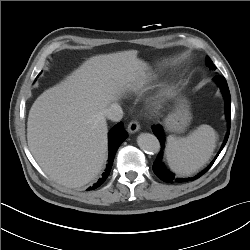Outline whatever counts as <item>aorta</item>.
Listing matches in <instances>:
<instances>
[{"label":"aorta","mask_w":250,"mask_h":250,"mask_svg":"<svg viewBox=\"0 0 250 250\" xmlns=\"http://www.w3.org/2000/svg\"><path fill=\"white\" fill-rule=\"evenodd\" d=\"M138 146L147 153L156 154L160 151V142L150 133H141L137 138Z\"/></svg>","instance_id":"762f6f07"}]
</instances>
